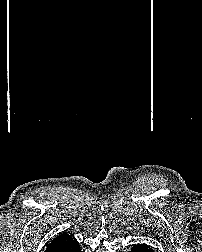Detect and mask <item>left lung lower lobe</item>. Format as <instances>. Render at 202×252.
I'll return each mask as SVG.
<instances>
[{"label":"left lung lower lobe","mask_w":202,"mask_h":252,"mask_svg":"<svg viewBox=\"0 0 202 252\" xmlns=\"http://www.w3.org/2000/svg\"><path fill=\"white\" fill-rule=\"evenodd\" d=\"M130 252H153V249L147 244L134 245Z\"/></svg>","instance_id":"obj_1"}]
</instances>
